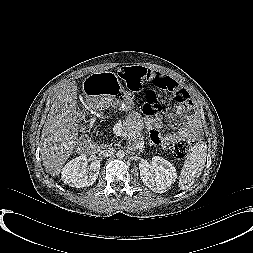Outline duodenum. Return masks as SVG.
<instances>
[{
	"label": "duodenum",
	"mask_w": 253,
	"mask_h": 253,
	"mask_svg": "<svg viewBox=\"0 0 253 253\" xmlns=\"http://www.w3.org/2000/svg\"><path fill=\"white\" fill-rule=\"evenodd\" d=\"M78 149L80 153L85 155H92L97 151L96 146L88 138H84L79 142Z\"/></svg>",
	"instance_id": "1"
}]
</instances>
